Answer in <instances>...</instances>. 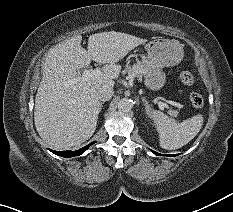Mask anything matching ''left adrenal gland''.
<instances>
[{
    "instance_id": "a2214340",
    "label": "left adrenal gland",
    "mask_w": 233,
    "mask_h": 212,
    "mask_svg": "<svg viewBox=\"0 0 233 212\" xmlns=\"http://www.w3.org/2000/svg\"><path fill=\"white\" fill-rule=\"evenodd\" d=\"M141 99L144 103L146 114L148 115L149 114L148 112L150 110V105L148 104V101L145 99V97H142Z\"/></svg>"
}]
</instances>
